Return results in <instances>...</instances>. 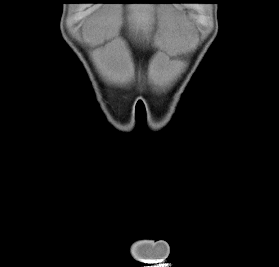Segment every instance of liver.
<instances>
[{
	"label": "liver",
	"mask_w": 279,
	"mask_h": 267,
	"mask_svg": "<svg viewBox=\"0 0 279 267\" xmlns=\"http://www.w3.org/2000/svg\"><path fill=\"white\" fill-rule=\"evenodd\" d=\"M127 20L131 34L149 42L155 24V7L149 4H133L127 7ZM165 29L159 44H165L168 51H173L177 43V21L172 9L168 8L164 15ZM119 15L117 7L93 20L89 39L93 44H100L105 39L117 35ZM102 73L112 82H122L126 77V61L124 50L117 39H114L97 59Z\"/></svg>",
	"instance_id": "6515ba94"
}]
</instances>
